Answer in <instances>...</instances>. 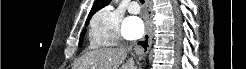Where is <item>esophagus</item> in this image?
Masks as SVG:
<instances>
[{
    "label": "esophagus",
    "instance_id": "1",
    "mask_svg": "<svg viewBox=\"0 0 246 69\" xmlns=\"http://www.w3.org/2000/svg\"><path fill=\"white\" fill-rule=\"evenodd\" d=\"M147 23L144 37L135 45V52L138 56H146L152 44V9L151 1L147 0Z\"/></svg>",
    "mask_w": 246,
    "mask_h": 69
}]
</instances>
